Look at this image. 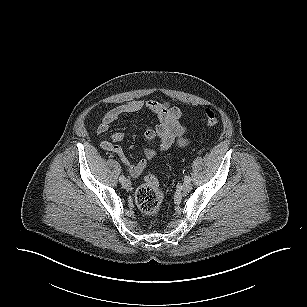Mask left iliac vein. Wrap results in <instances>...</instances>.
Returning <instances> with one entry per match:
<instances>
[{
	"label": "left iliac vein",
	"mask_w": 307,
	"mask_h": 307,
	"mask_svg": "<svg viewBox=\"0 0 307 307\" xmlns=\"http://www.w3.org/2000/svg\"><path fill=\"white\" fill-rule=\"evenodd\" d=\"M192 189V184L190 182H184L181 186L183 192H189Z\"/></svg>",
	"instance_id": "left-iliac-vein-1"
}]
</instances>
